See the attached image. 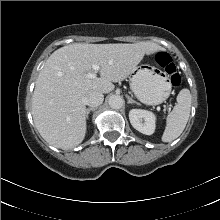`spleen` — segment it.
<instances>
[{"instance_id":"3e777b00","label":"spleen","mask_w":220,"mask_h":220,"mask_svg":"<svg viewBox=\"0 0 220 220\" xmlns=\"http://www.w3.org/2000/svg\"><path fill=\"white\" fill-rule=\"evenodd\" d=\"M191 101L189 89H182L177 95V104L166 118V127L161 138L163 142H171L181 135L190 116Z\"/></svg>"}]
</instances>
